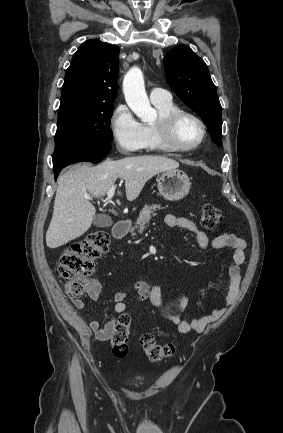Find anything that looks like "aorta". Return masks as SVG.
I'll list each match as a JSON object with an SVG mask.
<instances>
[{"label":"aorta","instance_id":"762f6f07","mask_svg":"<svg viewBox=\"0 0 283 433\" xmlns=\"http://www.w3.org/2000/svg\"><path fill=\"white\" fill-rule=\"evenodd\" d=\"M123 92L130 109L143 122L154 121L157 112L150 105L145 91L143 73L138 67H132L123 79Z\"/></svg>","mask_w":283,"mask_h":433}]
</instances>
